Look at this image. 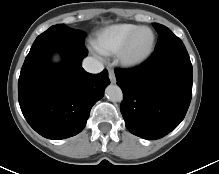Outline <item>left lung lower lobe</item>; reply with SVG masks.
<instances>
[{
	"label": "left lung lower lobe",
	"instance_id": "obj_1",
	"mask_svg": "<svg viewBox=\"0 0 219 174\" xmlns=\"http://www.w3.org/2000/svg\"><path fill=\"white\" fill-rule=\"evenodd\" d=\"M124 100L121 113L128 130L159 139L184 119L192 97V64L186 48L154 51L139 67L115 70Z\"/></svg>",
	"mask_w": 219,
	"mask_h": 174
}]
</instances>
